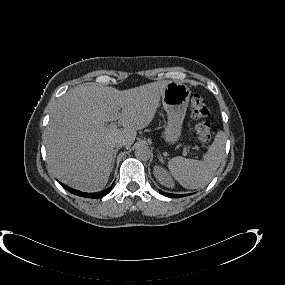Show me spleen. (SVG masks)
<instances>
[{
  "label": "spleen",
  "instance_id": "1",
  "mask_svg": "<svg viewBox=\"0 0 285 285\" xmlns=\"http://www.w3.org/2000/svg\"><path fill=\"white\" fill-rule=\"evenodd\" d=\"M225 135L218 132L214 142L205 153L203 160H192L180 156L168 162L171 175L183 187L197 189L206 186L224 158Z\"/></svg>",
  "mask_w": 285,
  "mask_h": 285
}]
</instances>
